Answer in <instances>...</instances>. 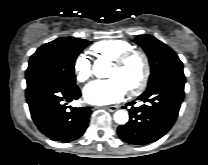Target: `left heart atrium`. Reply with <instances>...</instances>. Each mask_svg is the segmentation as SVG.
Wrapping results in <instances>:
<instances>
[{"label": "left heart atrium", "mask_w": 208, "mask_h": 165, "mask_svg": "<svg viewBox=\"0 0 208 165\" xmlns=\"http://www.w3.org/2000/svg\"><path fill=\"white\" fill-rule=\"evenodd\" d=\"M125 93V86L116 77L106 80H96L87 85L84 89L86 101L94 105L115 103L121 100Z\"/></svg>", "instance_id": "left-heart-atrium-1"}]
</instances>
